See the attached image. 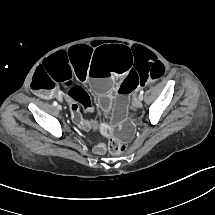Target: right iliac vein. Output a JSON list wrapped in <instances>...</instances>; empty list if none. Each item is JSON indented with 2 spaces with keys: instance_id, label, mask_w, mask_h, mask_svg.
Segmentation results:
<instances>
[{
  "instance_id": "1",
  "label": "right iliac vein",
  "mask_w": 215,
  "mask_h": 215,
  "mask_svg": "<svg viewBox=\"0 0 215 215\" xmlns=\"http://www.w3.org/2000/svg\"><path fill=\"white\" fill-rule=\"evenodd\" d=\"M57 110H62V107L60 105H58Z\"/></svg>"
}]
</instances>
